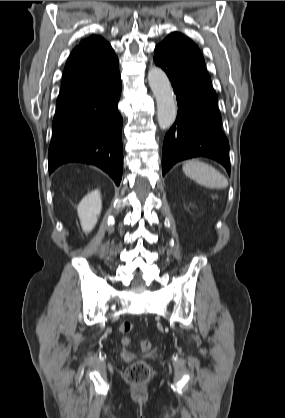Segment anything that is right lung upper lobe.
<instances>
[{"instance_id":"obj_1","label":"right lung upper lobe","mask_w":285,"mask_h":418,"mask_svg":"<svg viewBox=\"0 0 285 418\" xmlns=\"http://www.w3.org/2000/svg\"><path fill=\"white\" fill-rule=\"evenodd\" d=\"M118 72V59L105 39L97 35L84 39L66 62L56 105L96 88Z\"/></svg>"}]
</instances>
